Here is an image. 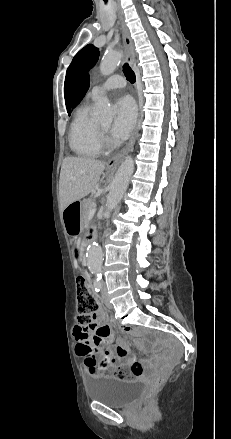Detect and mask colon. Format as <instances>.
<instances>
[{"mask_svg": "<svg viewBox=\"0 0 231 439\" xmlns=\"http://www.w3.org/2000/svg\"><path fill=\"white\" fill-rule=\"evenodd\" d=\"M76 288H77V295H78V320L79 323L83 326H89L94 318V315L96 313V310L98 308V302L95 298V296L90 291L86 278L84 276H78L76 278ZM122 331L124 333H131L134 331L133 327L131 326H124L122 327ZM86 366L88 367L89 371L91 373H97L102 370H105V365L101 363H97L91 359H88L86 361ZM141 373V367L139 364L132 365L129 369L126 368H120L115 371V376L119 379H126L131 375H138ZM166 374H161L154 378L147 390L143 394L144 400H149L155 390L165 381Z\"/></svg>", "mask_w": 231, "mask_h": 439, "instance_id": "obj_1", "label": "colon"}]
</instances>
